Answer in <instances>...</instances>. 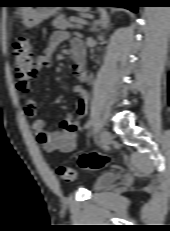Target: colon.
<instances>
[{"label": "colon", "mask_w": 170, "mask_h": 231, "mask_svg": "<svg viewBox=\"0 0 170 231\" xmlns=\"http://www.w3.org/2000/svg\"><path fill=\"white\" fill-rule=\"evenodd\" d=\"M13 65L16 77L19 81H31L37 74L36 62L33 60L32 48L29 39L26 36L19 37L13 46ZM81 168L98 170L105 167L108 158L100 153H84L77 160ZM57 174L67 182L73 181L75 172L67 166H59Z\"/></svg>", "instance_id": "colon-1"}]
</instances>
